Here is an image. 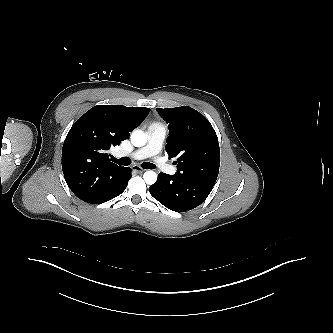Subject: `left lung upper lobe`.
Instances as JSON below:
<instances>
[{"label": "left lung upper lobe", "mask_w": 333, "mask_h": 333, "mask_svg": "<svg viewBox=\"0 0 333 333\" xmlns=\"http://www.w3.org/2000/svg\"><path fill=\"white\" fill-rule=\"evenodd\" d=\"M169 124L166 152L175 158L176 176L214 186L220 166L218 138L210 122L198 111L182 106L157 108Z\"/></svg>", "instance_id": "5c2ea615"}]
</instances>
